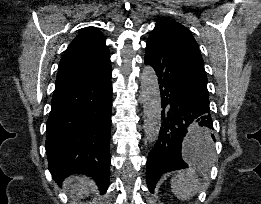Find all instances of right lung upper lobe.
Here are the masks:
<instances>
[{
    "instance_id": "1",
    "label": "right lung upper lobe",
    "mask_w": 261,
    "mask_h": 204,
    "mask_svg": "<svg viewBox=\"0 0 261 204\" xmlns=\"http://www.w3.org/2000/svg\"><path fill=\"white\" fill-rule=\"evenodd\" d=\"M110 60L105 37L94 27L84 28L62 56L57 78L98 68Z\"/></svg>"
}]
</instances>
